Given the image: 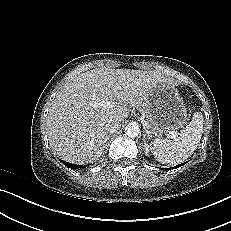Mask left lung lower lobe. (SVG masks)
<instances>
[{
	"instance_id": "0a47b994",
	"label": "left lung lower lobe",
	"mask_w": 231,
	"mask_h": 231,
	"mask_svg": "<svg viewBox=\"0 0 231 231\" xmlns=\"http://www.w3.org/2000/svg\"><path fill=\"white\" fill-rule=\"evenodd\" d=\"M185 163H186V162H185ZM185 163H182V164H180V165H177V166H175L174 168H178V167L184 165Z\"/></svg>"
}]
</instances>
